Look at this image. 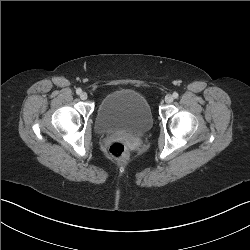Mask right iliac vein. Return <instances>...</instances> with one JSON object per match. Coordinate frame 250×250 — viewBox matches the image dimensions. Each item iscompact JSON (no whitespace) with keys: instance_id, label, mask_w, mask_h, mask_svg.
<instances>
[{"instance_id":"right-iliac-vein-1","label":"right iliac vein","mask_w":250,"mask_h":250,"mask_svg":"<svg viewBox=\"0 0 250 250\" xmlns=\"http://www.w3.org/2000/svg\"><path fill=\"white\" fill-rule=\"evenodd\" d=\"M87 97H88V95H87L86 92H82V93L80 94V98H81L82 100H86Z\"/></svg>"}]
</instances>
